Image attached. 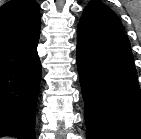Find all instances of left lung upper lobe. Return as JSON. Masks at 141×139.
<instances>
[{
    "mask_svg": "<svg viewBox=\"0 0 141 139\" xmlns=\"http://www.w3.org/2000/svg\"><path fill=\"white\" fill-rule=\"evenodd\" d=\"M80 20L100 28L123 32V26L117 15L100 1H91Z\"/></svg>",
    "mask_w": 141,
    "mask_h": 139,
    "instance_id": "5c2ea615",
    "label": "left lung upper lobe"
}]
</instances>
